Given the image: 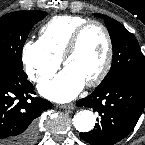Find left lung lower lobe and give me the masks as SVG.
<instances>
[{"label": "left lung lower lobe", "mask_w": 145, "mask_h": 145, "mask_svg": "<svg viewBox=\"0 0 145 145\" xmlns=\"http://www.w3.org/2000/svg\"><path fill=\"white\" fill-rule=\"evenodd\" d=\"M77 106L92 108L100 119L90 132L80 137L92 145H113L125 138L136 125L145 106V80L121 77L96 88Z\"/></svg>", "instance_id": "left-lung-lower-lobe-1"}]
</instances>
